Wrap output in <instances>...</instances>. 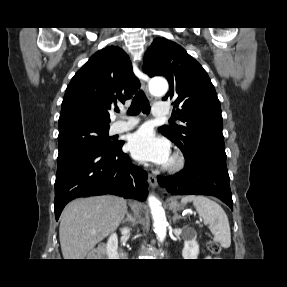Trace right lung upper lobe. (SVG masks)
Segmentation results:
<instances>
[{
  "label": "right lung upper lobe",
  "mask_w": 287,
  "mask_h": 287,
  "mask_svg": "<svg viewBox=\"0 0 287 287\" xmlns=\"http://www.w3.org/2000/svg\"><path fill=\"white\" fill-rule=\"evenodd\" d=\"M140 87L128 55L117 46L96 52L67 86L59 127L76 122L109 125V111Z\"/></svg>",
  "instance_id": "right-lung-upper-lobe-1"
}]
</instances>
